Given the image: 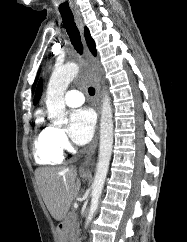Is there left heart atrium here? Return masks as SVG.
<instances>
[{"instance_id": "obj_1", "label": "left heart atrium", "mask_w": 187, "mask_h": 242, "mask_svg": "<svg viewBox=\"0 0 187 242\" xmlns=\"http://www.w3.org/2000/svg\"><path fill=\"white\" fill-rule=\"evenodd\" d=\"M95 122V114L91 109H74L70 114L69 136L77 144H86L93 136Z\"/></svg>"}]
</instances>
